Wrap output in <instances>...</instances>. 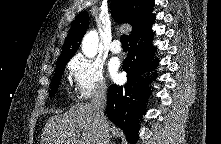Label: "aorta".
<instances>
[{
  "instance_id": "1",
  "label": "aorta",
  "mask_w": 221,
  "mask_h": 144,
  "mask_svg": "<svg viewBox=\"0 0 221 144\" xmlns=\"http://www.w3.org/2000/svg\"><path fill=\"white\" fill-rule=\"evenodd\" d=\"M99 36L96 30L88 32L82 40V52L88 58H94L97 54Z\"/></svg>"
}]
</instances>
